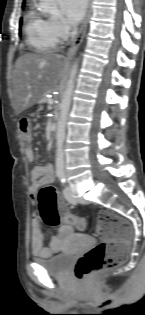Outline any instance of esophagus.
Instances as JSON below:
<instances>
[{"mask_svg":"<svg viewBox=\"0 0 145 315\" xmlns=\"http://www.w3.org/2000/svg\"><path fill=\"white\" fill-rule=\"evenodd\" d=\"M90 8H91V0H88L87 10H86V14H85L83 23H82L81 28L78 32V35L76 36V38L72 44V47L68 51V54H67L68 57H71L75 53V51L78 49V47L80 46V44L84 38L86 29H87V25H88L89 15H90Z\"/></svg>","mask_w":145,"mask_h":315,"instance_id":"1","label":"esophagus"}]
</instances>
